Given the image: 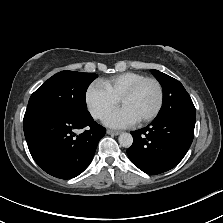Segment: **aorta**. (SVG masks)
<instances>
[{"label": "aorta", "mask_w": 223, "mask_h": 223, "mask_svg": "<svg viewBox=\"0 0 223 223\" xmlns=\"http://www.w3.org/2000/svg\"><path fill=\"white\" fill-rule=\"evenodd\" d=\"M118 140L119 144L125 148L130 147L133 143V137L130 133H121Z\"/></svg>", "instance_id": "aorta-1"}]
</instances>
